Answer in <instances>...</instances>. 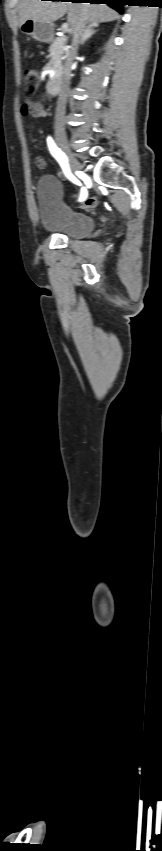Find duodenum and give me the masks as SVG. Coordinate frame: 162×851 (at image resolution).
Returning <instances> with one entry per match:
<instances>
[{"label":"duodenum","mask_w":162,"mask_h":851,"mask_svg":"<svg viewBox=\"0 0 162 851\" xmlns=\"http://www.w3.org/2000/svg\"><path fill=\"white\" fill-rule=\"evenodd\" d=\"M60 88V81L56 78H51L46 83V89L49 90L48 95L54 96L58 93Z\"/></svg>","instance_id":"duodenum-1"}]
</instances>
